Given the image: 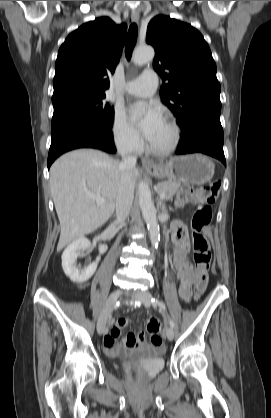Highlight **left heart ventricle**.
<instances>
[{"label": "left heart ventricle", "instance_id": "b2bd125f", "mask_svg": "<svg viewBox=\"0 0 271 418\" xmlns=\"http://www.w3.org/2000/svg\"><path fill=\"white\" fill-rule=\"evenodd\" d=\"M173 139V131L169 123L164 119L150 143L158 148L168 146Z\"/></svg>", "mask_w": 271, "mask_h": 418}]
</instances>
